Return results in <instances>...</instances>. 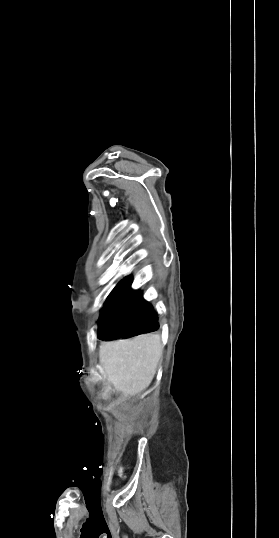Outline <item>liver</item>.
<instances>
[{"label": "liver", "mask_w": 279, "mask_h": 538, "mask_svg": "<svg viewBox=\"0 0 279 538\" xmlns=\"http://www.w3.org/2000/svg\"><path fill=\"white\" fill-rule=\"evenodd\" d=\"M162 356L159 334H142L132 340L102 342L99 360L109 384L126 396H137L150 386Z\"/></svg>", "instance_id": "liver-1"}]
</instances>
